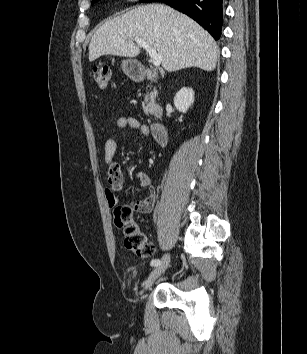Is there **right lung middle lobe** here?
<instances>
[{"label":"right lung middle lobe","instance_id":"right-lung-middle-lobe-1","mask_svg":"<svg viewBox=\"0 0 307 354\" xmlns=\"http://www.w3.org/2000/svg\"><path fill=\"white\" fill-rule=\"evenodd\" d=\"M96 1L98 0H92V3H95ZM141 2H154V1H157V0H140Z\"/></svg>","mask_w":307,"mask_h":354}]
</instances>
